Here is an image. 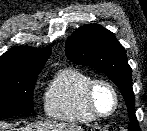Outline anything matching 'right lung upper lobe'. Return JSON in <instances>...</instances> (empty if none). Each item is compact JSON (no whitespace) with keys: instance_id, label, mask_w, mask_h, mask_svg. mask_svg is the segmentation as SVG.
<instances>
[{"instance_id":"1","label":"right lung upper lobe","mask_w":147,"mask_h":131,"mask_svg":"<svg viewBox=\"0 0 147 131\" xmlns=\"http://www.w3.org/2000/svg\"><path fill=\"white\" fill-rule=\"evenodd\" d=\"M50 54L49 47H14L0 57V72L41 71Z\"/></svg>"}]
</instances>
